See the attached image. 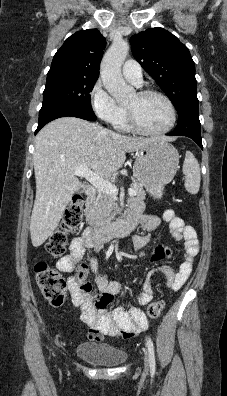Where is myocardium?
<instances>
[{
    "label": "myocardium",
    "mask_w": 227,
    "mask_h": 396,
    "mask_svg": "<svg viewBox=\"0 0 227 396\" xmlns=\"http://www.w3.org/2000/svg\"><path fill=\"white\" fill-rule=\"evenodd\" d=\"M137 94L139 96L156 95V96H159L160 98H162L169 108L170 121H169L168 125L166 127H164L163 129L148 130L140 125L134 112L130 108L127 107L126 108L127 118H128V122H129V125L132 128V130H134L140 134L148 135V136H161V135H164V134L168 133L169 131H171L173 129V127L175 126V123L177 120V111H176L175 105L173 104L172 100L165 93L155 90V89H144V90L139 91Z\"/></svg>",
    "instance_id": "1"
}]
</instances>
